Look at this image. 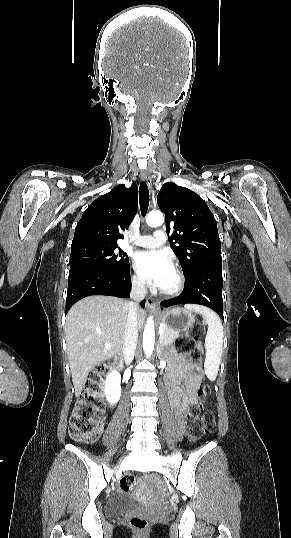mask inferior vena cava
<instances>
[{"label": "inferior vena cava", "instance_id": "inferior-vena-cava-1", "mask_svg": "<svg viewBox=\"0 0 291 538\" xmlns=\"http://www.w3.org/2000/svg\"><path fill=\"white\" fill-rule=\"evenodd\" d=\"M146 292L147 290L143 280H133L131 292L133 300L128 302V316L122 348L124 360L127 364H130L134 359L138 342V303L144 299Z\"/></svg>", "mask_w": 291, "mask_h": 538}]
</instances>
